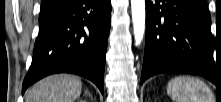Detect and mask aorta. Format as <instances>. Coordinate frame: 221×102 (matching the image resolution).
Masks as SVG:
<instances>
[{"label": "aorta", "instance_id": "aorta-1", "mask_svg": "<svg viewBox=\"0 0 221 102\" xmlns=\"http://www.w3.org/2000/svg\"><path fill=\"white\" fill-rule=\"evenodd\" d=\"M132 22L136 45H140L145 32V0H131Z\"/></svg>", "mask_w": 221, "mask_h": 102}]
</instances>
